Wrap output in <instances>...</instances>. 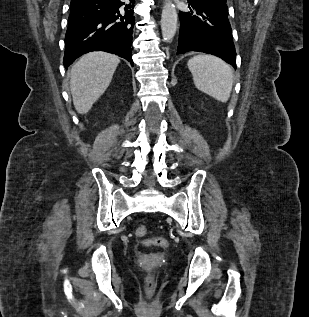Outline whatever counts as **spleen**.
I'll return each mask as SVG.
<instances>
[{
	"label": "spleen",
	"instance_id": "3e777b00",
	"mask_svg": "<svg viewBox=\"0 0 309 317\" xmlns=\"http://www.w3.org/2000/svg\"><path fill=\"white\" fill-rule=\"evenodd\" d=\"M187 65L197 89L220 102L229 100L233 73L227 63L212 55H197Z\"/></svg>",
	"mask_w": 309,
	"mask_h": 317
}]
</instances>
